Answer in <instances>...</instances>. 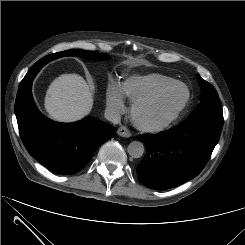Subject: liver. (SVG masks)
I'll return each mask as SVG.
<instances>
[{
    "label": "liver",
    "instance_id": "liver-1",
    "mask_svg": "<svg viewBox=\"0 0 245 245\" xmlns=\"http://www.w3.org/2000/svg\"><path fill=\"white\" fill-rule=\"evenodd\" d=\"M44 105L52 119L74 122L90 113L93 96L83 77L77 74H63L50 84Z\"/></svg>",
    "mask_w": 245,
    "mask_h": 245
}]
</instances>
